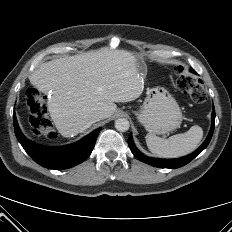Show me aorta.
I'll return each instance as SVG.
<instances>
[{
    "label": "aorta",
    "mask_w": 232,
    "mask_h": 232,
    "mask_svg": "<svg viewBox=\"0 0 232 232\" xmlns=\"http://www.w3.org/2000/svg\"><path fill=\"white\" fill-rule=\"evenodd\" d=\"M130 124L126 118H119L115 121V128L120 132H125L129 129Z\"/></svg>",
    "instance_id": "aorta-1"
}]
</instances>
